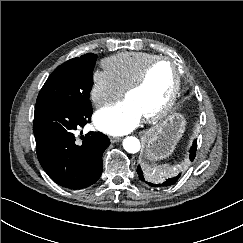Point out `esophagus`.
Here are the masks:
<instances>
[{
    "mask_svg": "<svg viewBox=\"0 0 243 243\" xmlns=\"http://www.w3.org/2000/svg\"><path fill=\"white\" fill-rule=\"evenodd\" d=\"M110 140L112 143H117V142H120L122 140V138L112 136V137H110Z\"/></svg>",
    "mask_w": 243,
    "mask_h": 243,
    "instance_id": "34e87169",
    "label": "esophagus"
}]
</instances>
